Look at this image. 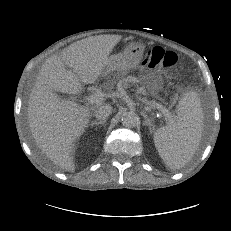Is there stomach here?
Listing matches in <instances>:
<instances>
[{
	"instance_id": "1",
	"label": "stomach",
	"mask_w": 231,
	"mask_h": 231,
	"mask_svg": "<svg viewBox=\"0 0 231 231\" xmlns=\"http://www.w3.org/2000/svg\"><path fill=\"white\" fill-rule=\"evenodd\" d=\"M144 50L145 46L141 42L129 43L122 52L110 56L103 74L106 76L115 71L121 75L128 73L138 66ZM140 80L144 87H146L148 92L152 95H156L163 83L161 76L154 74L144 75Z\"/></svg>"
}]
</instances>
